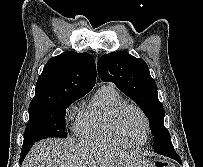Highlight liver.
<instances>
[{"mask_svg":"<svg viewBox=\"0 0 203 167\" xmlns=\"http://www.w3.org/2000/svg\"><path fill=\"white\" fill-rule=\"evenodd\" d=\"M22 167H152L134 153L108 150L73 139L49 138L36 143Z\"/></svg>","mask_w":203,"mask_h":167,"instance_id":"1","label":"liver"}]
</instances>
